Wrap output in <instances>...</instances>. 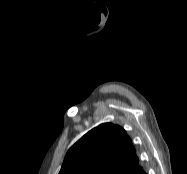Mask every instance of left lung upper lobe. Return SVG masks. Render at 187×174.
Returning a JSON list of instances; mask_svg holds the SVG:
<instances>
[{"label": "left lung upper lobe", "instance_id": "5c2ea615", "mask_svg": "<svg viewBox=\"0 0 187 174\" xmlns=\"http://www.w3.org/2000/svg\"><path fill=\"white\" fill-rule=\"evenodd\" d=\"M142 170L125 130L105 123L69 149L59 174H137Z\"/></svg>", "mask_w": 187, "mask_h": 174}]
</instances>
